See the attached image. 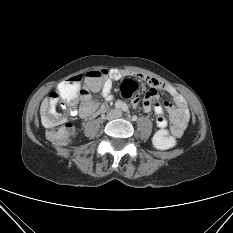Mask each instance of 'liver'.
Here are the masks:
<instances>
[{
	"instance_id": "6515ba94",
	"label": "liver",
	"mask_w": 233,
	"mask_h": 233,
	"mask_svg": "<svg viewBox=\"0 0 233 233\" xmlns=\"http://www.w3.org/2000/svg\"><path fill=\"white\" fill-rule=\"evenodd\" d=\"M48 104H49V100H48V97H46L43 100V102L41 104V107H40V114H41V116H43L45 114V112L47 111Z\"/></svg>"
}]
</instances>
